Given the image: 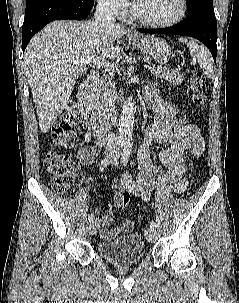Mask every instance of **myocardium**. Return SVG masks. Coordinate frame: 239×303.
<instances>
[{"label": "myocardium", "mask_w": 239, "mask_h": 303, "mask_svg": "<svg viewBox=\"0 0 239 303\" xmlns=\"http://www.w3.org/2000/svg\"><path fill=\"white\" fill-rule=\"evenodd\" d=\"M179 3H180V10H179L178 14H176L171 19H168L165 21H152V20L145 19L138 13L134 3H132V5H131V15H132L133 19L136 20L138 23L148 26V27H154V28L170 27V26H173V25L179 23L185 17V15L187 13V0H179Z\"/></svg>", "instance_id": "obj_1"}]
</instances>
